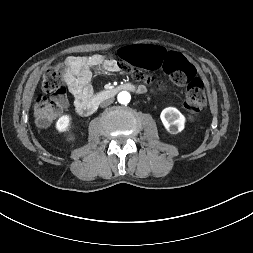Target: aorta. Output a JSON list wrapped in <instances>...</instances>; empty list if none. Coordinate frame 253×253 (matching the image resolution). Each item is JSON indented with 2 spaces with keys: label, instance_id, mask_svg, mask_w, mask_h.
<instances>
[{
  "label": "aorta",
  "instance_id": "aorta-1",
  "mask_svg": "<svg viewBox=\"0 0 253 253\" xmlns=\"http://www.w3.org/2000/svg\"><path fill=\"white\" fill-rule=\"evenodd\" d=\"M117 99L121 104H128L131 100V95L127 91H122L118 94Z\"/></svg>",
  "mask_w": 253,
  "mask_h": 253
}]
</instances>
